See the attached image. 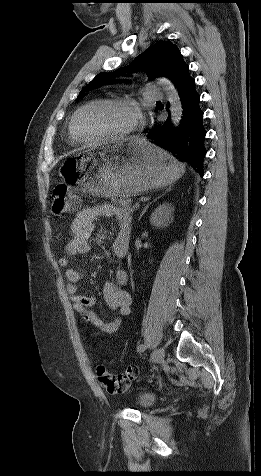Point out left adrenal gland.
Returning <instances> with one entry per match:
<instances>
[{
  "label": "left adrenal gland",
  "mask_w": 261,
  "mask_h": 476,
  "mask_svg": "<svg viewBox=\"0 0 261 476\" xmlns=\"http://www.w3.org/2000/svg\"><path fill=\"white\" fill-rule=\"evenodd\" d=\"M170 190H171V188H168V189L166 190V192H169ZM166 192H165L164 194H166ZM164 194L158 196V197H157L155 200H153L152 202H155L157 199H159V198H160L161 196H163ZM152 202L148 203V204L144 207V209L142 210V212H141V214H140V216H139V220L142 218V216L144 215V213H145L146 210L148 209L149 205L152 204Z\"/></svg>",
  "instance_id": "left-adrenal-gland-1"
}]
</instances>
